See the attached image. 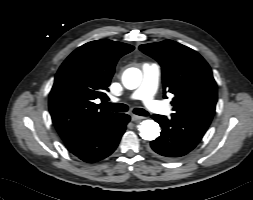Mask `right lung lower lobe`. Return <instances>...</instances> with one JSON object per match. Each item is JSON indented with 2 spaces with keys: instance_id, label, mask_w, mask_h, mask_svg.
<instances>
[{
  "instance_id": "98d812e1",
  "label": "right lung lower lobe",
  "mask_w": 253,
  "mask_h": 200,
  "mask_svg": "<svg viewBox=\"0 0 253 200\" xmlns=\"http://www.w3.org/2000/svg\"><path fill=\"white\" fill-rule=\"evenodd\" d=\"M129 120L128 115L118 113L99 129L65 142V145L79 159L98 162L116 149Z\"/></svg>"
}]
</instances>
